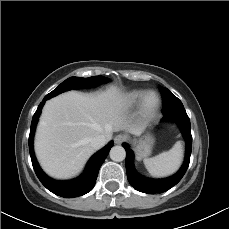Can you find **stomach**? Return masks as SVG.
I'll list each match as a JSON object with an SVG mask.
<instances>
[{
  "mask_svg": "<svg viewBox=\"0 0 229 229\" xmlns=\"http://www.w3.org/2000/svg\"><path fill=\"white\" fill-rule=\"evenodd\" d=\"M153 144L154 138L149 134L139 138L138 140H135L134 145L137 159L140 160L150 155Z\"/></svg>",
  "mask_w": 229,
  "mask_h": 229,
  "instance_id": "obj_1",
  "label": "stomach"
}]
</instances>
